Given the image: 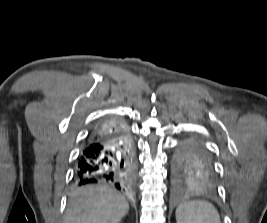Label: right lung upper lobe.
<instances>
[{
	"mask_svg": "<svg viewBox=\"0 0 267 223\" xmlns=\"http://www.w3.org/2000/svg\"><path fill=\"white\" fill-rule=\"evenodd\" d=\"M115 126L126 127L125 123H123L120 120H115V119L104 120L96 125V127L93 129L91 133V136L87 137L86 142L96 141L102 138L103 136L114 134L116 131L115 130L112 131V128Z\"/></svg>",
	"mask_w": 267,
	"mask_h": 223,
	"instance_id": "obj_1",
	"label": "right lung upper lobe"
}]
</instances>
